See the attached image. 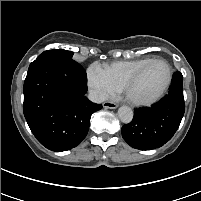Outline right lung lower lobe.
Instances as JSON below:
<instances>
[{"label": "right lung lower lobe", "instance_id": "obj_1", "mask_svg": "<svg viewBox=\"0 0 201 201\" xmlns=\"http://www.w3.org/2000/svg\"><path fill=\"white\" fill-rule=\"evenodd\" d=\"M86 91V72L74 60L44 57L30 64L23 88V111L44 147L66 151L86 137L91 115L102 108L85 97Z\"/></svg>", "mask_w": 201, "mask_h": 201}]
</instances>
